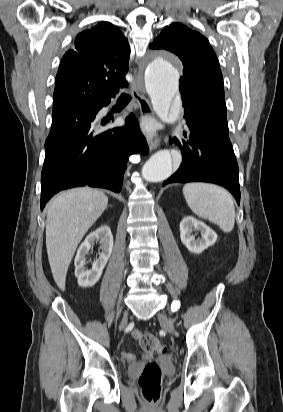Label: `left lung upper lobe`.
<instances>
[{
    "mask_svg": "<svg viewBox=\"0 0 283 412\" xmlns=\"http://www.w3.org/2000/svg\"><path fill=\"white\" fill-rule=\"evenodd\" d=\"M176 54L183 64L180 93L184 107L213 124H227L223 77L208 40L180 23L165 27L150 44Z\"/></svg>",
    "mask_w": 283,
    "mask_h": 412,
    "instance_id": "left-lung-upper-lobe-1",
    "label": "left lung upper lobe"
}]
</instances>
